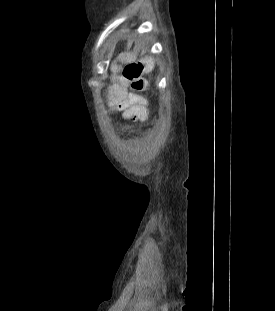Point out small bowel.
<instances>
[{
	"instance_id": "c3829d8e",
	"label": "small bowel",
	"mask_w": 275,
	"mask_h": 311,
	"mask_svg": "<svg viewBox=\"0 0 275 311\" xmlns=\"http://www.w3.org/2000/svg\"><path fill=\"white\" fill-rule=\"evenodd\" d=\"M136 57H151V50H136ZM134 60L129 53L123 54L114 63L113 69L117 73L115 83L110 92L114 107L123 112L126 118L143 120L147 116V100L140 94L130 91L131 82L125 75L126 67Z\"/></svg>"
}]
</instances>
